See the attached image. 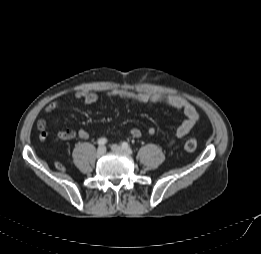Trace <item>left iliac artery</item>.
<instances>
[{
	"mask_svg": "<svg viewBox=\"0 0 261 254\" xmlns=\"http://www.w3.org/2000/svg\"><path fill=\"white\" fill-rule=\"evenodd\" d=\"M122 147L125 149H128L130 147V145L127 142H123Z\"/></svg>",
	"mask_w": 261,
	"mask_h": 254,
	"instance_id": "44dca946",
	"label": "left iliac artery"
}]
</instances>
